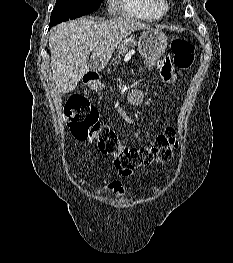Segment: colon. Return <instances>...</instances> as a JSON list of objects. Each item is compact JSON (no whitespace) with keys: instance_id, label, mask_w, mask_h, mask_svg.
Here are the masks:
<instances>
[{"instance_id":"colon-1","label":"colon","mask_w":233,"mask_h":263,"mask_svg":"<svg viewBox=\"0 0 233 263\" xmlns=\"http://www.w3.org/2000/svg\"><path fill=\"white\" fill-rule=\"evenodd\" d=\"M171 49L174 64L179 69L186 70L192 66L195 48L188 39H174ZM64 116L76 139L96 143L101 152L114 158L115 167L122 173L148 166L153 162H164L178 146V138L173 127H168L163 134L157 136L150 146L135 147L122 144L115 130L99 121L98 110L83 97L70 99L65 107Z\"/></svg>"}]
</instances>
